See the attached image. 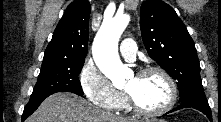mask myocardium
Listing matches in <instances>:
<instances>
[{
    "mask_svg": "<svg viewBox=\"0 0 221 122\" xmlns=\"http://www.w3.org/2000/svg\"><path fill=\"white\" fill-rule=\"evenodd\" d=\"M156 73L163 77V79L166 81L168 88H169V99L168 102L161 108L155 109V110H149L141 107L136 100L133 98V96L125 91L124 96L126 98V101L129 105V107L137 114L143 115V116H160L168 111H170L177 101V87L174 79L171 77V75L164 70L161 67L157 66H151L141 69L136 73V77H142L148 74Z\"/></svg>",
    "mask_w": 221,
    "mask_h": 122,
    "instance_id": "obj_1",
    "label": "myocardium"
}]
</instances>
